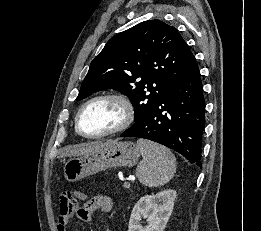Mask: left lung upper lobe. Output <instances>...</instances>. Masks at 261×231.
I'll return each mask as SVG.
<instances>
[{"label":"left lung upper lobe","mask_w":261,"mask_h":231,"mask_svg":"<svg viewBox=\"0 0 261 231\" xmlns=\"http://www.w3.org/2000/svg\"><path fill=\"white\" fill-rule=\"evenodd\" d=\"M195 63L174 27L160 20L144 21L108 41L91 62L77 100L104 89L118 90L129 97L137 122Z\"/></svg>","instance_id":"left-lung-upper-lobe-1"}]
</instances>
